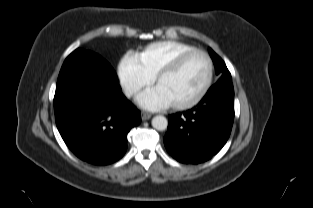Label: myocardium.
I'll list each match as a JSON object with an SVG mask.
<instances>
[{
  "label": "myocardium",
  "instance_id": "myocardium-1",
  "mask_svg": "<svg viewBox=\"0 0 313 208\" xmlns=\"http://www.w3.org/2000/svg\"><path fill=\"white\" fill-rule=\"evenodd\" d=\"M202 55L205 57V59L207 60L208 63V74H207V79L201 89V91L198 93V95L196 97H194L193 99L184 102V103H178V104H172L171 106L176 109V110H185V109H190L194 106H196L197 104H199L204 97L207 95L208 91L211 88L212 82H213V77H214V64H213V60L210 57V55L200 49H195V50H191L188 52H185L181 55H179L178 57H176L171 63H169L167 66H165L164 68H162L161 70H159L157 72V74L155 75V79H154V83L155 85H157L164 77L175 73L177 70H179L181 68V66L192 56L194 55Z\"/></svg>",
  "mask_w": 313,
  "mask_h": 208
}]
</instances>
